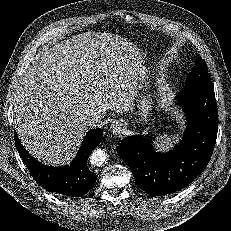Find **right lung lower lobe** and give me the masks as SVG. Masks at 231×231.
I'll use <instances>...</instances> for the list:
<instances>
[{
	"label": "right lung lower lobe",
	"instance_id": "obj_1",
	"mask_svg": "<svg viewBox=\"0 0 231 231\" xmlns=\"http://www.w3.org/2000/svg\"><path fill=\"white\" fill-rule=\"evenodd\" d=\"M17 150L26 164L33 179L51 192L80 197L93 188L96 174L87 167L89 154L100 144L103 138L101 128L90 130L70 165L52 167L43 165L33 158L22 146L18 136L14 135Z\"/></svg>",
	"mask_w": 231,
	"mask_h": 231
}]
</instances>
